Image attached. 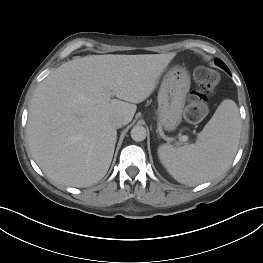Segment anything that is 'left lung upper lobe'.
Segmentation results:
<instances>
[{"label":"left lung upper lobe","mask_w":263,"mask_h":263,"mask_svg":"<svg viewBox=\"0 0 263 263\" xmlns=\"http://www.w3.org/2000/svg\"><path fill=\"white\" fill-rule=\"evenodd\" d=\"M216 64L230 74L228 67L220 59L216 58Z\"/></svg>","instance_id":"1"}]
</instances>
